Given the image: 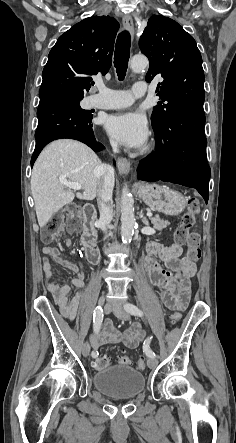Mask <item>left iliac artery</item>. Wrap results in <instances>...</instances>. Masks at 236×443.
Segmentation results:
<instances>
[{"label": "left iliac artery", "mask_w": 236, "mask_h": 443, "mask_svg": "<svg viewBox=\"0 0 236 443\" xmlns=\"http://www.w3.org/2000/svg\"><path fill=\"white\" fill-rule=\"evenodd\" d=\"M124 308H125V310L128 312V313H130L131 315H134V316H142L143 315V312L136 306V305H134V304H132V303H127L125 306H124ZM151 339H152V336L151 337H148L145 341H144V343H143V351L145 352V354L148 356V357H150V358H155L156 357V354L150 349V347H149V344H150V341H151Z\"/></svg>", "instance_id": "1"}]
</instances>
